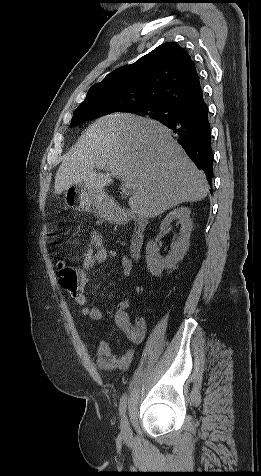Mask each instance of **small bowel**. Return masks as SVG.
I'll list each match as a JSON object with an SVG mask.
<instances>
[{
    "instance_id": "1",
    "label": "small bowel",
    "mask_w": 261,
    "mask_h": 476,
    "mask_svg": "<svg viewBox=\"0 0 261 476\" xmlns=\"http://www.w3.org/2000/svg\"><path fill=\"white\" fill-rule=\"evenodd\" d=\"M108 258L120 261L123 276H129L132 273V261L126 256L119 255L115 250L109 249L103 237L96 231H92L90 240L82 255V268L79 270L82 278L81 285L76 292L70 293L75 302L80 306L81 314L92 320L101 319L102 312L98 307L88 305L84 287L88 280V272L96 265L103 264ZM129 307L130 299L124 298L118 303L115 313V323L123 332L129 344L126 350L117 355L112 351L107 342L99 340L96 343L97 365L103 370H124L128 368L134 357L135 348L144 339L146 323L142 318L132 320L128 312Z\"/></svg>"
}]
</instances>
